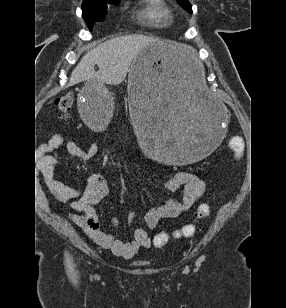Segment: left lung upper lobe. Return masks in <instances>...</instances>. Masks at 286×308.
<instances>
[{
  "label": "left lung upper lobe",
  "mask_w": 286,
  "mask_h": 308,
  "mask_svg": "<svg viewBox=\"0 0 286 308\" xmlns=\"http://www.w3.org/2000/svg\"><path fill=\"white\" fill-rule=\"evenodd\" d=\"M177 2L188 12L192 13V6L188 0H177Z\"/></svg>",
  "instance_id": "5c2ea615"
}]
</instances>
